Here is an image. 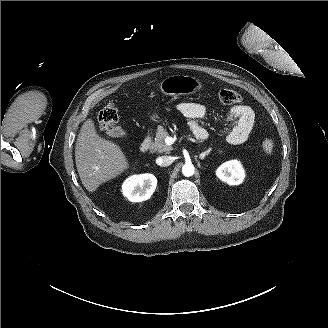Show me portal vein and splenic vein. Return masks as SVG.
Here are the masks:
<instances>
[{
	"label": "portal vein and splenic vein",
	"mask_w": 328,
	"mask_h": 328,
	"mask_svg": "<svg viewBox=\"0 0 328 328\" xmlns=\"http://www.w3.org/2000/svg\"><path fill=\"white\" fill-rule=\"evenodd\" d=\"M168 140H172V138L169 137Z\"/></svg>",
	"instance_id": "portal-vein-and-splenic-vein-1"
}]
</instances>
